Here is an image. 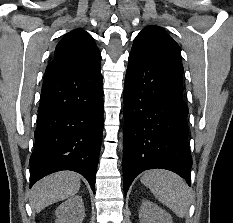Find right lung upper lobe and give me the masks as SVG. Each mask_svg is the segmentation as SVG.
I'll use <instances>...</instances> for the list:
<instances>
[{
	"instance_id": "right-lung-upper-lobe-1",
	"label": "right lung upper lobe",
	"mask_w": 233,
	"mask_h": 223,
	"mask_svg": "<svg viewBox=\"0 0 233 223\" xmlns=\"http://www.w3.org/2000/svg\"><path fill=\"white\" fill-rule=\"evenodd\" d=\"M100 60L101 54L93 37L82 29H74L57 44L44 78L87 70L99 65Z\"/></svg>"
}]
</instances>
